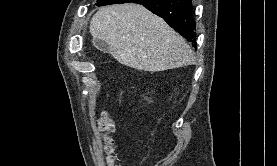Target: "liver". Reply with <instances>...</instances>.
Instances as JSON below:
<instances>
[{
  "label": "liver",
  "instance_id": "liver-1",
  "mask_svg": "<svg viewBox=\"0 0 277 166\" xmlns=\"http://www.w3.org/2000/svg\"><path fill=\"white\" fill-rule=\"evenodd\" d=\"M89 29L94 39L108 44L119 63L134 69L159 72L195 63L185 39L138 4L102 7Z\"/></svg>",
  "mask_w": 277,
  "mask_h": 166
}]
</instances>
